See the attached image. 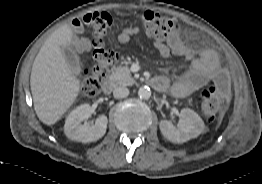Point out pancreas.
I'll return each instance as SVG.
<instances>
[{
	"mask_svg": "<svg viewBox=\"0 0 262 184\" xmlns=\"http://www.w3.org/2000/svg\"><path fill=\"white\" fill-rule=\"evenodd\" d=\"M111 71L112 74L110 78L116 85L129 86L135 83L131 77L130 69L127 66L114 67Z\"/></svg>",
	"mask_w": 262,
	"mask_h": 184,
	"instance_id": "obj_1",
	"label": "pancreas"
}]
</instances>
